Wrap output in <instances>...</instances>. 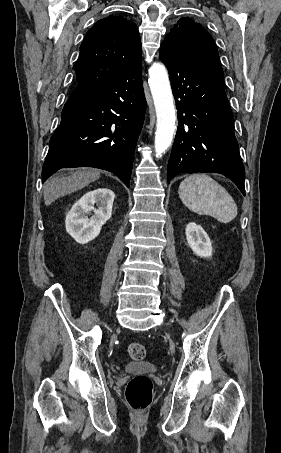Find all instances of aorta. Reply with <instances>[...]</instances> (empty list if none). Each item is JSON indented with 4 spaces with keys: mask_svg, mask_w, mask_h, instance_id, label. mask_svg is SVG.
Instances as JSON below:
<instances>
[{
    "mask_svg": "<svg viewBox=\"0 0 281 453\" xmlns=\"http://www.w3.org/2000/svg\"><path fill=\"white\" fill-rule=\"evenodd\" d=\"M148 81L157 117L154 147L158 157L165 153L173 141L176 110L168 73L162 63L152 64Z\"/></svg>",
    "mask_w": 281,
    "mask_h": 453,
    "instance_id": "aorta-1",
    "label": "aorta"
}]
</instances>
